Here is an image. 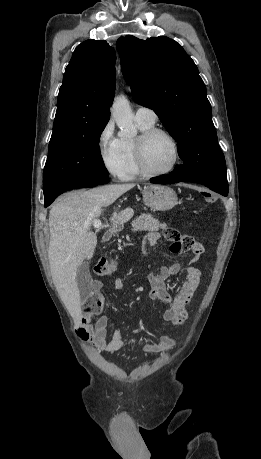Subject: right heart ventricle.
Instances as JSON below:
<instances>
[{
    "instance_id": "1",
    "label": "right heart ventricle",
    "mask_w": 261,
    "mask_h": 459,
    "mask_svg": "<svg viewBox=\"0 0 261 459\" xmlns=\"http://www.w3.org/2000/svg\"><path fill=\"white\" fill-rule=\"evenodd\" d=\"M138 127L141 131L154 127L155 122H146L137 120ZM120 149L124 160V167L120 175L121 179L131 180L139 176L141 173L138 169L135 157V139L120 138Z\"/></svg>"
}]
</instances>
